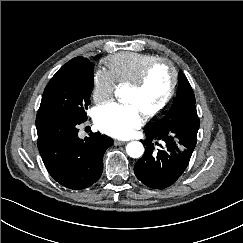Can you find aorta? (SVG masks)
I'll list each match as a JSON object with an SVG mask.
<instances>
[{
	"label": "aorta",
	"instance_id": "aorta-1",
	"mask_svg": "<svg viewBox=\"0 0 243 243\" xmlns=\"http://www.w3.org/2000/svg\"><path fill=\"white\" fill-rule=\"evenodd\" d=\"M126 152L132 158H139L144 153V147L141 142L133 141L127 144Z\"/></svg>",
	"mask_w": 243,
	"mask_h": 243
}]
</instances>
